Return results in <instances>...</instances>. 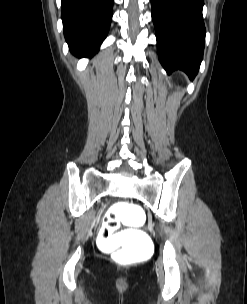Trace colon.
Returning a JSON list of instances; mask_svg holds the SVG:
<instances>
[{"label": "colon", "instance_id": "1", "mask_svg": "<svg viewBox=\"0 0 247 304\" xmlns=\"http://www.w3.org/2000/svg\"><path fill=\"white\" fill-rule=\"evenodd\" d=\"M104 216L95 239L99 253H117L119 260L152 259L156 243L138 227L148 225L141 202H114Z\"/></svg>", "mask_w": 247, "mask_h": 304}]
</instances>
